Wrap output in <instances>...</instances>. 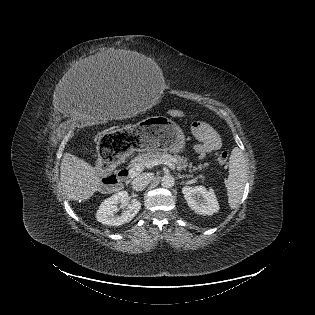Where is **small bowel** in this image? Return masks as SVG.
Returning <instances> with one entry per match:
<instances>
[{
    "label": "small bowel",
    "mask_w": 315,
    "mask_h": 315,
    "mask_svg": "<svg viewBox=\"0 0 315 315\" xmlns=\"http://www.w3.org/2000/svg\"><path fill=\"white\" fill-rule=\"evenodd\" d=\"M192 132L199 141V144L195 146V151L200 158L221 147L222 141L219 133L208 123L194 122Z\"/></svg>",
    "instance_id": "obj_1"
}]
</instances>
